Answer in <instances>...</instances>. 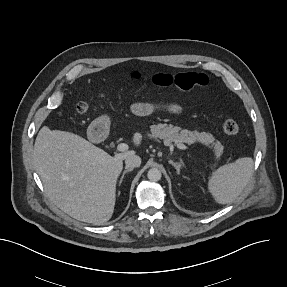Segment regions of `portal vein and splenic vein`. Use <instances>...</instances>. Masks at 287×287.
Listing matches in <instances>:
<instances>
[{
	"instance_id": "18ae733b",
	"label": "portal vein and splenic vein",
	"mask_w": 287,
	"mask_h": 287,
	"mask_svg": "<svg viewBox=\"0 0 287 287\" xmlns=\"http://www.w3.org/2000/svg\"><path fill=\"white\" fill-rule=\"evenodd\" d=\"M176 147L179 148V149H182V150H186L187 149V147L184 144H182V143H177ZM117 150L121 151V152H124V151L128 150V145L125 144V143H120V144L117 145Z\"/></svg>"
}]
</instances>
